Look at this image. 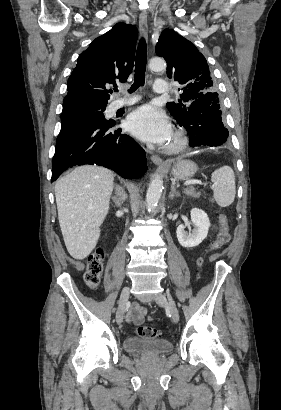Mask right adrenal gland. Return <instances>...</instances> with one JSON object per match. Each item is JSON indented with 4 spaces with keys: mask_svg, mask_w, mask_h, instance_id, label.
Listing matches in <instances>:
<instances>
[{
    "mask_svg": "<svg viewBox=\"0 0 281 410\" xmlns=\"http://www.w3.org/2000/svg\"><path fill=\"white\" fill-rule=\"evenodd\" d=\"M115 192L116 195L112 197V200L116 206H120L121 203L126 199V194L119 185H115Z\"/></svg>",
    "mask_w": 281,
    "mask_h": 410,
    "instance_id": "1",
    "label": "right adrenal gland"
}]
</instances>
